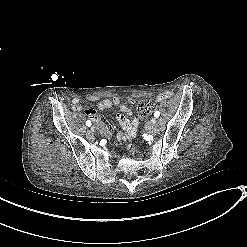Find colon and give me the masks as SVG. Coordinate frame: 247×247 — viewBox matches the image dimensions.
I'll return each instance as SVG.
<instances>
[{"instance_id": "5ec220e1", "label": "colon", "mask_w": 247, "mask_h": 247, "mask_svg": "<svg viewBox=\"0 0 247 247\" xmlns=\"http://www.w3.org/2000/svg\"><path fill=\"white\" fill-rule=\"evenodd\" d=\"M154 108V104L151 100H141L137 103V113L139 116L143 117L151 113ZM129 148L133 149V146H129Z\"/></svg>"}]
</instances>
